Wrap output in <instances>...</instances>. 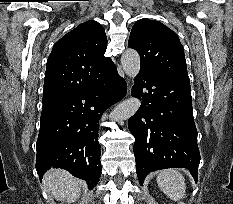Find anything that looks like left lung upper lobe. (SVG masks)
Returning <instances> with one entry per match:
<instances>
[{
  "label": "left lung upper lobe",
  "instance_id": "1",
  "mask_svg": "<svg viewBox=\"0 0 233 204\" xmlns=\"http://www.w3.org/2000/svg\"><path fill=\"white\" fill-rule=\"evenodd\" d=\"M128 46L141 58V70L190 84L184 50L175 32L150 19L138 20L130 33Z\"/></svg>",
  "mask_w": 233,
  "mask_h": 204
}]
</instances>
